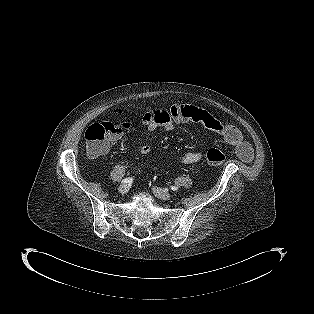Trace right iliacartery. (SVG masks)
I'll return each mask as SVG.
<instances>
[{
  "mask_svg": "<svg viewBox=\"0 0 314 314\" xmlns=\"http://www.w3.org/2000/svg\"><path fill=\"white\" fill-rule=\"evenodd\" d=\"M132 181H133V178H125V179H123L122 181H121V183H123V184H127V183H132Z\"/></svg>",
  "mask_w": 314,
  "mask_h": 314,
  "instance_id": "1",
  "label": "right iliac artery"
}]
</instances>
